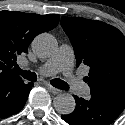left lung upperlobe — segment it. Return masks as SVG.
<instances>
[{"label":"left lung upper lobe","mask_w":125,"mask_h":125,"mask_svg":"<svg viewBox=\"0 0 125 125\" xmlns=\"http://www.w3.org/2000/svg\"><path fill=\"white\" fill-rule=\"evenodd\" d=\"M77 67H90L91 95L113 94L125 98V36L115 27L97 20L62 17Z\"/></svg>","instance_id":"obj_1"}]
</instances>
